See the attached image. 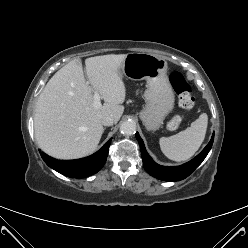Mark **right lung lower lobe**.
I'll return each mask as SVG.
<instances>
[{"mask_svg":"<svg viewBox=\"0 0 248 248\" xmlns=\"http://www.w3.org/2000/svg\"><path fill=\"white\" fill-rule=\"evenodd\" d=\"M111 139L91 156L76 160H57L41 153L45 163L57 172L71 178H84L97 173L105 164Z\"/></svg>","mask_w":248,"mask_h":248,"instance_id":"1","label":"right lung lower lobe"}]
</instances>
